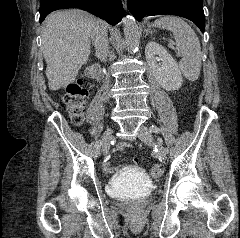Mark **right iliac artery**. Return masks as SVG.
<instances>
[{
    "instance_id": "right-iliac-artery-1",
    "label": "right iliac artery",
    "mask_w": 240,
    "mask_h": 238,
    "mask_svg": "<svg viewBox=\"0 0 240 238\" xmlns=\"http://www.w3.org/2000/svg\"><path fill=\"white\" fill-rule=\"evenodd\" d=\"M100 145H101V141H100V140H97V141H96V145L94 146V151H95L94 153H95V155H97V156L100 155V153H101V152H100V151H101V146H100Z\"/></svg>"
}]
</instances>
